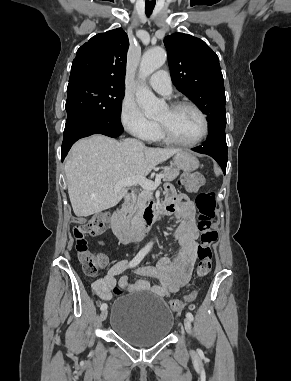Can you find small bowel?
<instances>
[{
  "mask_svg": "<svg viewBox=\"0 0 291 381\" xmlns=\"http://www.w3.org/2000/svg\"><path fill=\"white\" fill-rule=\"evenodd\" d=\"M164 206L167 215H175L182 219L174 234L179 243V250L173 258L162 257L154 266L147 265L135 269L137 275L156 279L157 284L151 286L146 279L130 283L129 277L122 275L129 267V263L121 260L116 262L103 277L92 283V290L99 298L105 301L112 298L113 288L120 275L122 276L118 284L128 288V291L151 292L160 297L168 296L188 283L197 257L194 205L188 200H179L175 192L169 189Z\"/></svg>",
  "mask_w": 291,
  "mask_h": 381,
  "instance_id": "c3829d8e",
  "label": "small bowel"
}]
</instances>
